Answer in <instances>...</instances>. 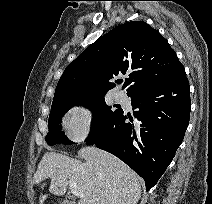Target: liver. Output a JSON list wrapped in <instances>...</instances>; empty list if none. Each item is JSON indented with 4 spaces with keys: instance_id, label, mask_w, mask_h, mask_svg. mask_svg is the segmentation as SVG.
<instances>
[{
    "instance_id": "1",
    "label": "liver",
    "mask_w": 212,
    "mask_h": 204,
    "mask_svg": "<svg viewBox=\"0 0 212 204\" xmlns=\"http://www.w3.org/2000/svg\"><path fill=\"white\" fill-rule=\"evenodd\" d=\"M82 162L66 155L47 152L42 157L33 182L50 178L49 192L62 196L69 181L83 191L78 204H137L141 184L137 174L120 159L96 147H84L78 152ZM48 195L41 194L40 204Z\"/></svg>"
}]
</instances>
